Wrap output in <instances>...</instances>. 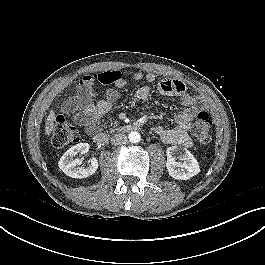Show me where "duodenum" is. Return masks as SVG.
<instances>
[{"mask_svg":"<svg viewBox=\"0 0 265 265\" xmlns=\"http://www.w3.org/2000/svg\"><path fill=\"white\" fill-rule=\"evenodd\" d=\"M140 129L141 127L138 124H126L122 127V130L126 132L138 131ZM93 140L97 144L104 145L108 141V135L102 132H96L93 134Z\"/></svg>","mask_w":265,"mask_h":265,"instance_id":"duodenum-1","label":"duodenum"}]
</instances>
